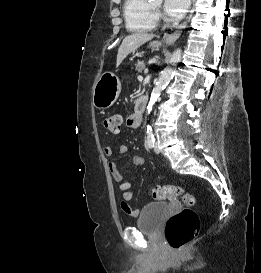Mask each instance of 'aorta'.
I'll list each match as a JSON object with an SVG mask.
<instances>
[{"label": "aorta", "mask_w": 261, "mask_h": 273, "mask_svg": "<svg viewBox=\"0 0 261 273\" xmlns=\"http://www.w3.org/2000/svg\"><path fill=\"white\" fill-rule=\"evenodd\" d=\"M181 55H182V50L181 49L175 50L173 52L172 56H171L170 65L167 66L161 72L160 77H159L158 81L156 82L155 87H154V89L152 91L149 104L147 106L148 113L151 112L152 107H153L154 103L156 102V100L158 99V97L160 96V93L162 92V90L170 82V80H171V78H172V76L174 74V71H175V65L177 63H179L180 60H181Z\"/></svg>", "instance_id": "aorta-1"}]
</instances>
